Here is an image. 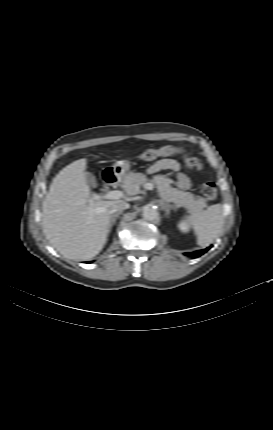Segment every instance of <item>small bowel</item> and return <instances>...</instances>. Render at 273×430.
<instances>
[{
	"label": "small bowel",
	"mask_w": 273,
	"mask_h": 430,
	"mask_svg": "<svg viewBox=\"0 0 273 430\" xmlns=\"http://www.w3.org/2000/svg\"><path fill=\"white\" fill-rule=\"evenodd\" d=\"M161 171H172L175 174L176 185L178 188L183 190L190 188L191 180L187 175L180 172V165L177 161L170 158L160 159L148 169V172L151 174Z\"/></svg>",
	"instance_id": "1"
}]
</instances>
